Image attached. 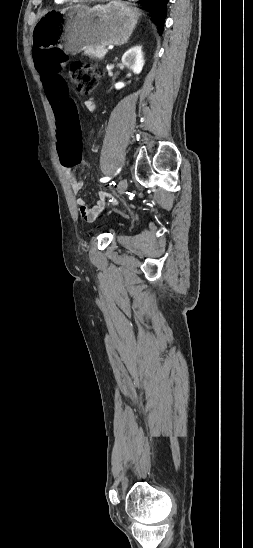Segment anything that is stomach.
<instances>
[{
  "instance_id": "stomach-1",
  "label": "stomach",
  "mask_w": 253,
  "mask_h": 548,
  "mask_svg": "<svg viewBox=\"0 0 253 548\" xmlns=\"http://www.w3.org/2000/svg\"><path fill=\"white\" fill-rule=\"evenodd\" d=\"M138 19V10L120 1L92 8L74 5L42 17L35 26L33 38L40 44L59 43L65 52L77 54L86 47L126 43Z\"/></svg>"
}]
</instances>
